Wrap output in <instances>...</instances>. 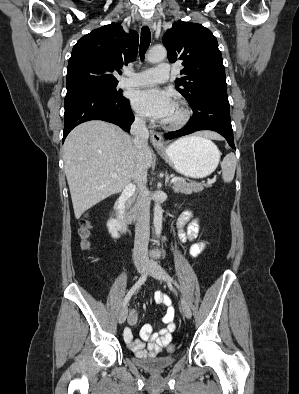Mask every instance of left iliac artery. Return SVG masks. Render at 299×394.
<instances>
[{
  "mask_svg": "<svg viewBox=\"0 0 299 394\" xmlns=\"http://www.w3.org/2000/svg\"><path fill=\"white\" fill-rule=\"evenodd\" d=\"M168 279H169L170 281L174 282V284H175L177 287H179L178 284H177V282H175L170 276H168Z\"/></svg>",
  "mask_w": 299,
  "mask_h": 394,
  "instance_id": "left-iliac-artery-1",
  "label": "left iliac artery"
}]
</instances>
